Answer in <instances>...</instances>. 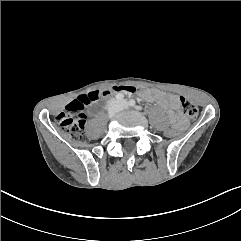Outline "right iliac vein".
Masks as SVG:
<instances>
[{
  "label": "right iliac vein",
  "mask_w": 241,
  "mask_h": 241,
  "mask_svg": "<svg viewBox=\"0 0 241 241\" xmlns=\"http://www.w3.org/2000/svg\"><path fill=\"white\" fill-rule=\"evenodd\" d=\"M119 106L116 102H113L108 109V115L109 117L114 116L118 112Z\"/></svg>",
  "instance_id": "1"
}]
</instances>
